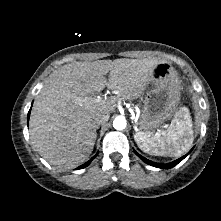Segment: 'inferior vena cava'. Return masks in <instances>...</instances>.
I'll use <instances>...</instances> for the list:
<instances>
[{
  "instance_id": "1",
  "label": "inferior vena cava",
  "mask_w": 221,
  "mask_h": 221,
  "mask_svg": "<svg viewBox=\"0 0 221 221\" xmlns=\"http://www.w3.org/2000/svg\"><path fill=\"white\" fill-rule=\"evenodd\" d=\"M108 119H109V115L101 113V112H97L93 116V122L95 126H99L100 124L107 122Z\"/></svg>"
}]
</instances>
